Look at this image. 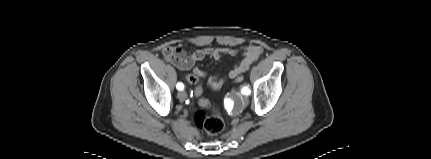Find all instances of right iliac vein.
<instances>
[{"label":"right iliac vein","instance_id":"obj_1","mask_svg":"<svg viewBox=\"0 0 431 159\" xmlns=\"http://www.w3.org/2000/svg\"><path fill=\"white\" fill-rule=\"evenodd\" d=\"M178 98H179L180 100H185V99L187 98V93H186L185 91H180V92L178 93Z\"/></svg>","mask_w":431,"mask_h":159}]
</instances>
